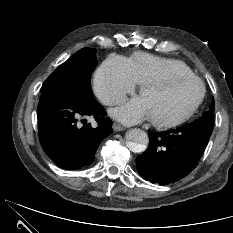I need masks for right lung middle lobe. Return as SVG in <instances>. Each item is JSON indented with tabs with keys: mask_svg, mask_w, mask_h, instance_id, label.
I'll return each mask as SVG.
<instances>
[{
	"mask_svg": "<svg viewBox=\"0 0 233 233\" xmlns=\"http://www.w3.org/2000/svg\"><path fill=\"white\" fill-rule=\"evenodd\" d=\"M95 52L93 48H83L58 66L43 83L42 93L53 92L93 100L90 77L97 65Z\"/></svg>",
	"mask_w": 233,
	"mask_h": 233,
	"instance_id": "right-lung-middle-lobe-1",
	"label": "right lung middle lobe"
}]
</instances>
